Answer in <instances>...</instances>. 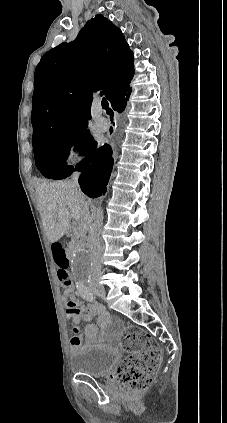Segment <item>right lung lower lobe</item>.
I'll return each mask as SVG.
<instances>
[{
  "mask_svg": "<svg viewBox=\"0 0 227 423\" xmlns=\"http://www.w3.org/2000/svg\"><path fill=\"white\" fill-rule=\"evenodd\" d=\"M126 100L128 97L113 106V109L122 113L127 104ZM84 154L85 158L76 165V170L82 172L79 178L81 190L91 198L102 196L106 192L113 167L112 148L108 144L97 148V142L93 139Z\"/></svg>",
  "mask_w": 227,
  "mask_h": 423,
  "instance_id": "98d812e1",
  "label": "right lung lower lobe"
}]
</instances>
